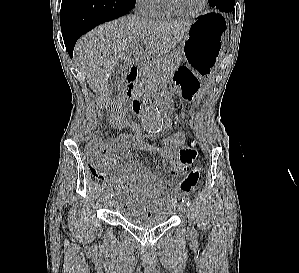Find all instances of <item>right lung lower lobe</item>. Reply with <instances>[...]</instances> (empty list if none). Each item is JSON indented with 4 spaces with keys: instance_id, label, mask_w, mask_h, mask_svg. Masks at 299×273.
<instances>
[{
    "instance_id": "1",
    "label": "right lung lower lobe",
    "mask_w": 299,
    "mask_h": 273,
    "mask_svg": "<svg viewBox=\"0 0 299 273\" xmlns=\"http://www.w3.org/2000/svg\"><path fill=\"white\" fill-rule=\"evenodd\" d=\"M135 0H62L60 23L68 54L80 36L104 22L127 14Z\"/></svg>"
}]
</instances>
